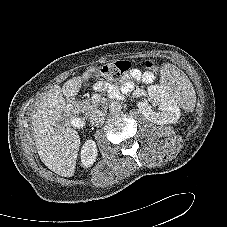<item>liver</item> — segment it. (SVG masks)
Wrapping results in <instances>:
<instances>
[{"instance_id":"liver-1","label":"liver","mask_w":227,"mask_h":227,"mask_svg":"<svg viewBox=\"0 0 227 227\" xmlns=\"http://www.w3.org/2000/svg\"><path fill=\"white\" fill-rule=\"evenodd\" d=\"M96 67H90L81 76L73 77L62 88L54 85L40 100L33 114V134L41 161L51 171L63 177L74 175L80 137L77 131L57 125L66 109V99L77 95L83 81L88 80Z\"/></svg>"}]
</instances>
